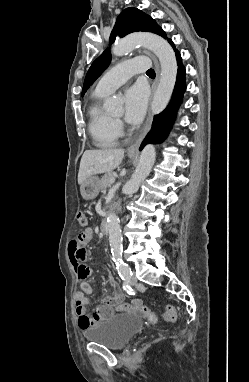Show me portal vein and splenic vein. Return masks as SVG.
<instances>
[{
    "label": "portal vein and splenic vein",
    "mask_w": 249,
    "mask_h": 382,
    "mask_svg": "<svg viewBox=\"0 0 249 382\" xmlns=\"http://www.w3.org/2000/svg\"><path fill=\"white\" fill-rule=\"evenodd\" d=\"M115 182V178H112L111 180H110V184H113Z\"/></svg>",
    "instance_id": "1"
}]
</instances>
